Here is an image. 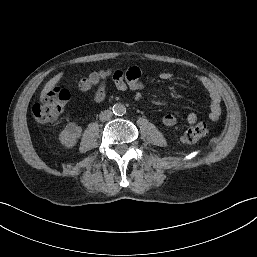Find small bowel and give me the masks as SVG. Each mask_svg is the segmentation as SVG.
I'll list each match as a JSON object with an SVG mask.
<instances>
[{
  "mask_svg": "<svg viewBox=\"0 0 257 257\" xmlns=\"http://www.w3.org/2000/svg\"><path fill=\"white\" fill-rule=\"evenodd\" d=\"M106 76H110L116 88L121 91H125L128 89L138 90L143 88V83L141 80V69L137 66H132L125 72L118 69H107L104 72ZM188 76L199 83L203 89L206 91L209 99V118L212 121H218L221 117L222 108H221V95L213 84L211 80L208 78L198 75L195 73H189ZM161 79L169 80L173 77V73L170 71H163L160 74ZM106 96L105 86L102 88H98L94 94L93 101L95 104H100L104 101ZM198 117L196 113L191 112L187 115L186 120L189 124L196 123ZM162 123L167 127H172L177 123V119L173 114H165L162 119Z\"/></svg>",
  "mask_w": 257,
  "mask_h": 257,
  "instance_id": "small-bowel-1",
  "label": "small bowel"
}]
</instances>
